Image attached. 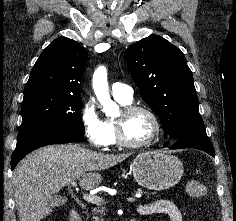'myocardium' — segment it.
<instances>
[{
    "label": "myocardium",
    "mask_w": 236,
    "mask_h": 221,
    "mask_svg": "<svg viewBox=\"0 0 236 221\" xmlns=\"http://www.w3.org/2000/svg\"><path fill=\"white\" fill-rule=\"evenodd\" d=\"M137 112H144L148 114L154 123V132L152 136L143 142H132L128 140L125 136V131H124L125 120L129 116ZM114 123H115L117 141L121 146L126 147V148L140 149V148L150 146L151 144H153L154 142L158 140V138L160 137L162 133V124L158 115L153 109L145 105L124 106L122 108L120 116L114 121Z\"/></svg>",
    "instance_id": "f54148a6"
}]
</instances>
